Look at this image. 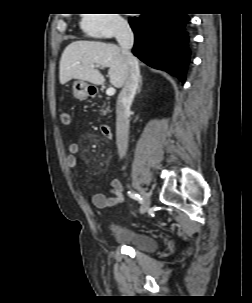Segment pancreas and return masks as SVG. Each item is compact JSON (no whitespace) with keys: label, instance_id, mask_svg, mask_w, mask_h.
<instances>
[{"label":"pancreas","instance_id":"pancreas-1","mask_svg":"<svg viewBox=\"0 0 252 303\" xmlns=\"http://www.w3.org/2000/svg\"><path fill=\"white\" fill-rule=\"evenodd\" d=\"M106 103H104V105L102 106V109L100 110L102 115H106L107 112H109L108 107L106 109H104L106 107Z\"/></svg>","mask_w":252,"mask_h":303}]
</instances>
